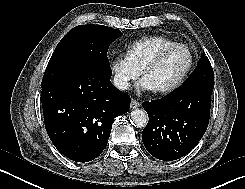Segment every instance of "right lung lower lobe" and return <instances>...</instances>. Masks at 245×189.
<instances>
[{
	"mask_svg": "<svg viewBox=\"0 0 245 189\" xmlns=\"http://www.w3.org/2000/svg\"><path fill=\"white\" fill-rule=\"evenodd\" d=\"M110 65L93 63L42 88L46 131L57 150L76 162L100 155L114 119L125 114L130 97L110 81Z\"/></svg>",
	"mask_w": 245,
	"mask_h": 189,
	"instance_id": "98d812e1",
	"label": "right lung lower lobe"
}]
</instances>
